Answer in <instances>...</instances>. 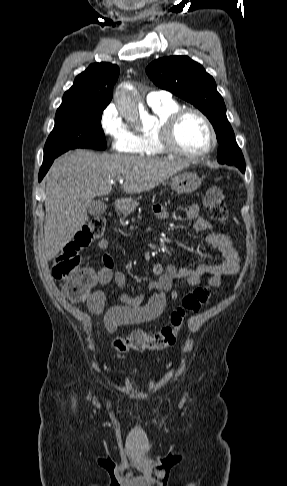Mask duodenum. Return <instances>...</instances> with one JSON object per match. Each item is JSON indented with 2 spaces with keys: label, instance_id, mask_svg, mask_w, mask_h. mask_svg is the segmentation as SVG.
Returning a JSON list of instances; mask_svg holds the SVG:
<instances>
[{
  "label": "duodenum",
  "instance_id": "1",
  "mask_svg": "<svg viewBox=\"0 0 287 486\" xmlns=\"http://www.w3.org/2000/svg\"><path fill=\"white\" fill-rule=\"evenodd\" d=\"M115 205H116L117 208H120L122 206V203H121V201L118 200V201H116Z\"/></svg>",
  "mask_w": 287,
  "mask_h": 486
}]
</instances>
